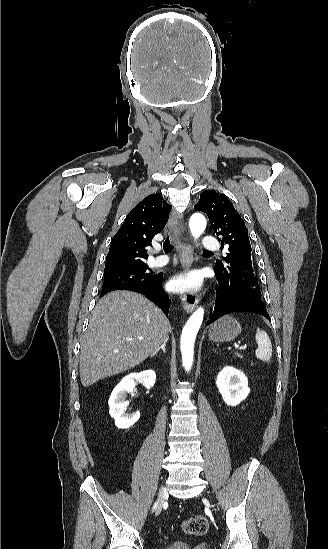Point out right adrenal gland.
<instances>
[{"mask_svg": "<svg viewBox=\"0 0 328 549\" xmlns=\"http://www.w3.org/2000/svg\"><path fill=\"white\" fill-rule=\"evenodd\" d=\"M165 345H166V341H164L163 345H161V347H159V349H156V351H155V353H153L152 357H154V355H157L158 351H163V353H166Z\"/></svg>", "mask_w": 328, "mask_h": 549, "instance_id": "2a0ac1e0", "label": "right adrenal gland"}]
</instances>
